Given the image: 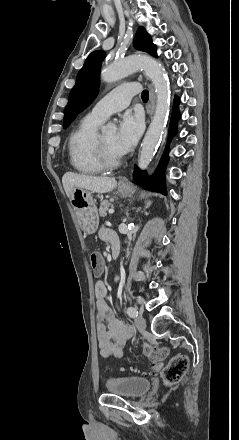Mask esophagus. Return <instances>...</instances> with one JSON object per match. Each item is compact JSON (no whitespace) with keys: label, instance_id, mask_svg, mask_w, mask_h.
Wrapping results in <instances>:
<instances>
[{"label":"esophagus","instance_id":"obj_1","mask_svg":"<svg viewBox=\"0 0 239 440\" xmlns=\"http://www.w3.org/2000/svg\"><path fill=\"white\" fill-rule=\"evenodd\" d=\"M149 89H150V105H151V110L149 115L152 116L154 109H155V103H156V95H155V91L152 85L149 84ZM120 184H128L129 181L126 177H121L119 180Z\"/></svg>","mask_w":239,"mask_h":440}]
</instances>
